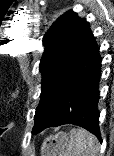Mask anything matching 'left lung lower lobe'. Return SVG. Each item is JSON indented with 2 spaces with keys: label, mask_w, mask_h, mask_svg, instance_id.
Instances as JSON below:
<instances>
[{
  "label": "left lung lower lobe",
  "mask_w": 114,
  "mask_h": 156,
  "mask_svg": "<svg viewBox=\"0 0 114 156\" xmlns=\"http://www.w3.org/2000/svg\"><path fill=\"white\" fill-rule=\"evenodd\" d=\"M98 50L99 47L92 35L67 83L59 110L46 125L33 130V134L51 126L75 124L101 139L97 109L101 71V57Z\"/></svg>",
  "instance_id": "0a47b994"
}]
</instances>
